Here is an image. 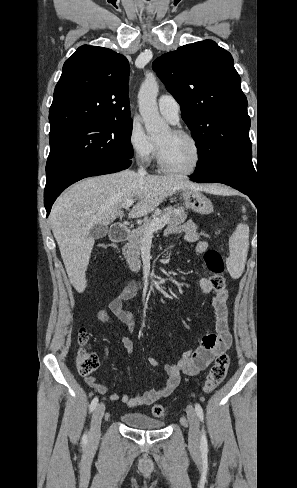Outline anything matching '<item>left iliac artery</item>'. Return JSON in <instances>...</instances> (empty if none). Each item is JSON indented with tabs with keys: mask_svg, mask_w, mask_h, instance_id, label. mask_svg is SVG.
<instances>
[{
	"mask_svg": "<svg viewBox=\"0 0 297 488\" xmlns=\"http://www.w3.org/2000/svg\"><path fill=\"white\" fill-rule=\"evenodd\" d=\"M195 411L197 413V416L203 422V420H204L203 409L199 403L195 404ZM200 448L203 452H206L208 450V443H207V438H206V434H205L204 429L202 430V434H201Z\"/></svg>",
	"mask_w": 297,
	"mask_h": 488,
	"instance_id": "44dca946",
	"label": "left iliac artery"
}]
</instances>
